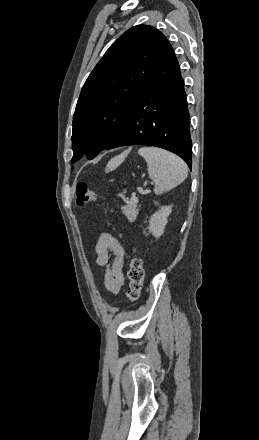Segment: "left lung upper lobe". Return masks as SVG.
<instances>
[{
  "mask_svg": "<svg viewBox=\"0 0 259 440\" xmlns=\"http://www.w3.org/2000/svg\"><path fill=\"white\" fill-rule=\"evenodd\" d=\"M166 43L156 28L137 25L110 46L87 78L76 105L72 162L85 152L92 159L114 141Z\"/></svg>",
  "mask_w": 259,
  "mask_h": 440,
  "instance_id": "1",
  "label": "left lung upper lobe"
}]
</instances>
